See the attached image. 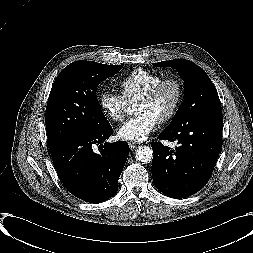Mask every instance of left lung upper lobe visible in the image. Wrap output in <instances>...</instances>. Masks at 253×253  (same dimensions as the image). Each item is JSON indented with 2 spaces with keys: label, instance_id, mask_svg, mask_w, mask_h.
Instances as JSON below:
<instances>
[{
  "label": "left lung upper lobe",
  "instance_id": "5c2ea615",
  "mask_svg": "<svg viewBox=\"0 0 253 253\" xmlns=\"http://www.w3.org/2000/svg\"><path fill=\"white\" fill-rule=\"evenodd\" d=\"M176 69L184 79L185 100L166 130H174L192 120L222 116L217 90L208 75L195 63L174 59L153 64Z\"/></svg>",
  "mask_w": 253,
  "mask_h": 253
}]
</instances>
